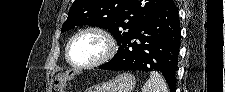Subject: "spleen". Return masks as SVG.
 Returning <instances> with one entry per match:
<instances>
[{
  "label": "spleen",
  "mask_w": 225,
  "mask_h": 92,
  "mask_svg": "<svg viewBox=\"0 0 225 92\" xmlns=\"http://www.w3.org/2000/svg\"><path fill=\"white\" fill-rule=\"evenodd\" d=\"M142 92H168V88L162 76L157 71H151Z\"/></svg>",
  "instance_id": "3e777b00"
}]
</instances>
